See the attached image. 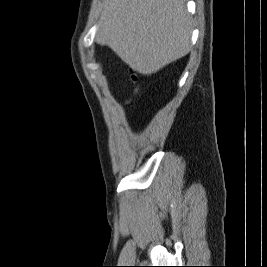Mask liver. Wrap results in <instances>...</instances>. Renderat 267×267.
Segmentation results:
<instances>
[{
	"instance_id": "6515ba94",
	"label": "liver",
	"mask_w": 267,
	"mask_h": 267,
	"mask_svg": "<svg viewBox=\"0 0 267 267\" xmlns=\"http://www.w3.org/2000/svg\"><path fill=\"white\" fill-rule=\"evenodd\" d=\"M191 33L185 0H105L95 39L151 75L189 53Z\"/></svg>"
}]
</instances>
